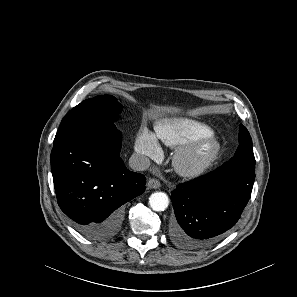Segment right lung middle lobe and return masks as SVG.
Returning a JSON list of instances; mask_svg holds the SVG:
<instances>
[{
	"label": "right lung middle lobe",
	"instance_id": "1",
	"mask_svg": "<svg viewBox=\"0 0 297 297\" xmlns=\"http://www.w3.org/2000/svg\"><path fill=\"white\" fill-rule=\"evenodd\" d=\"M122 105L111 95H101L82 101L63 118L55 138L96 128L116 129L114 121Z\"/></svg>",
	"mask_w": 297,
	"mask_h": 297
}]
</instances>
